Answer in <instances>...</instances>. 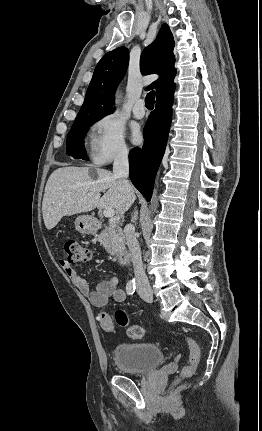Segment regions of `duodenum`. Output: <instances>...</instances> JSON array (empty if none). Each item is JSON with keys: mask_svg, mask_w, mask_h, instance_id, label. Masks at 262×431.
<instances>
[{"mask_svg": "<svg viewBox=\"0 0 262 431\" xmlns=\"http://www.w3.org/2000/svg\"><path fill=\"white\" fill-rule=\"evenodd\" d=\"M117 262L121 265H126L130 262V255L127 251L117 253Z\"/></svg>", "mask_w": 262, "mask_h": 431, "instance_id": "duodenum-1", "label": "duodenum"}]
</instances>
